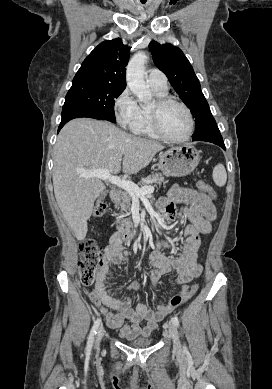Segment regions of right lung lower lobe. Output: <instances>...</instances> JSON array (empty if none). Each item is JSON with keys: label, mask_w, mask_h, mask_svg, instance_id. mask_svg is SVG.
I'll return each mask as SVG.
<instances>
[{"label": "right lung lower lobe", "mask_w": 272, "mask_h": 389, "mask_svg": "<svg viewBox=\"0 0 272 389\" xmlns=\"http://www.w3.org/2000/svg\"><path fill=\"white\" fill-rule=\"evenodd\" d=\"M79 117H88V118H94V119H98V120H106V119H104L96 114H93V113H90L87 111L68 110V111L62 112V119H61V123H60L59 128H58V132L68 121H70L74 118H79Z\"/></svg>", "instance_id": "1"}]
</instances>
